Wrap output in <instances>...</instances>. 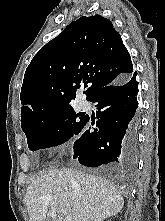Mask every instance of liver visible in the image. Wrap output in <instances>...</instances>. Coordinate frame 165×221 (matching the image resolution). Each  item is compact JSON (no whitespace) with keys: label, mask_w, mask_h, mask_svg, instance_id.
Wrapping results in <instances>:
<instances>
[{"label":"liver","mask_w":165,"mask_h":221,"mask_svg":"<svg viewBox=\"0 0 165 221\" xmlns=\"http://www.w3.org/2000/svg\"><path fill=\"white\" fill-rule=\"evenodd\" d=\"M30 221H103L121 212L124 200L109 181L75 169L42 171L27 187ZM51 209L58 213L48 218Z\"/></svg>","instance_id":"obj_1"}]
</instances>
